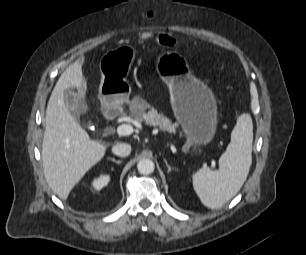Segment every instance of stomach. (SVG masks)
<instances>
[{"label":"stomach","mask_w":306,"mask_h":255,"mask_svg":"<svg viewBox=\"0 0 306 255\" xmlns=\"http://www.w3.org/2000/svg\"><path fill=\"white\" fill-rule=\"evenodd\" d=\"M136 50L119 46L100 61L102 79L99 99L104 111L116 109L129 97L131 87L125 75ZM156 69L168 84L174 114L187 138L185 149L208 144L216 131V106L212 93L194 75L190 59L175 50H164L156 58Z\"/></svg>","instance_id":"1"}]
</instances>
